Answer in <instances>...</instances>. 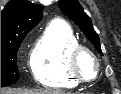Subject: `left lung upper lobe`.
<instances>
[{
    "label": "left lung upper lobe",
    "mask_w": 121,
    "mask_h": 94,
    "mask_svg": "<svg viewBox=\"0 0 121 94\" xmlns=\"http://www.w3.org/2000/svg\"><path fill=\"white\" fill-rule=\"evenodd\" d=\"M61 11L69 16L76 25L80 27L82 32L86 35L88 40H90L95 48L102 54L99 36L95 32L91 19L83 11L81 5L77 0H60L58 3Z\"/></svg>",
    "instance_id": "obj_1"
}]
</instances>
